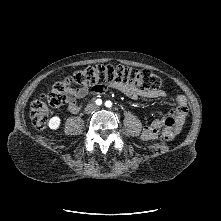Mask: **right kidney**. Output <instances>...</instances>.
Returning <instances> with one entry per match:
<instances>
[{
  "label": "right kidney",
  "instance_id": "obj_1",
  "mask_svg": "<svg viewBox=\"0 0 221 221\" xmlns=\"http://www.w3.org/2000/svg\"><path fill=\"white\" fill-rule=\"evenodd\" d=\"M61 119L58 116H54L49 120L48 126L52 130H57L60 126Z\"/></svg>",
  "mask_w": 221,
  "mask_h": 221
}]
</instances>
